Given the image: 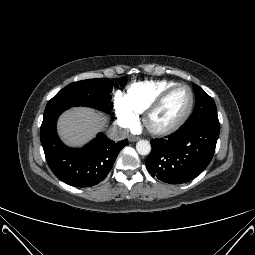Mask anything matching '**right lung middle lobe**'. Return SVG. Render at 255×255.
<instances>
[{
	"label": "right lung middle lobe",
	"mask_w": 255,
	"mask_h": 255,
	"mask_svg": "<svg viewBox=\"0 0 255 255\" xmlns=\"http://www.w3.org/2000/svg\"><path fill=\"white\" fill-rule=\"evenodd\" d=\"M112 85L113 82L105 78L73 82L59 91L47 103L45 110L88 106L109 113Z\"/></svg>",
	"instance_id": "dd1d6c3e"
}]
</instances>
